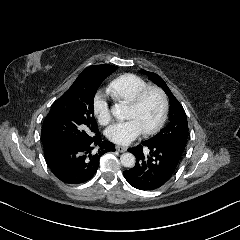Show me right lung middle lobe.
Segmentation results:
<instances>
[{
    "label": "right lung middle lobe",
    "mask_w": 240,
    "mask_h": 240,
    "mask_svg": "<svg viewBox=\"0 0 240 240\" xmlns=\"http://www.w3.org/2000/svg\"><path fill=\"white\" fill-rule=\"evenodd\" d=\"M113 70H83L71 87L54 103L41 130L42 143L86 140L99 135L93 101L102 81Z\"/></svg>",
    "instance_id": "right-lung-middle-lobe-1"
}]
</instances>
